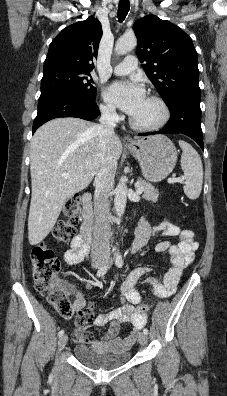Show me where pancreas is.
Instances as JSON below:
<instances>
[{"label":"pancreas","mask_w":227,"mask_h":396,"mask_svg":"<svg viewBox=\"0 0 227 396\" xmlns=\"http://www.w3.org/2000/svg\"><path fill=\"white\" fill-rule=\"evenodd\" d=\"M138 185L140 187H143V198L147 201H153L156 202L159 197L158 190L150 183L144 181V180H139Z\"/></svg>","instance_id":"cf45deb5"}]
</instances>
